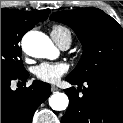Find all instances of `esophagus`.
<instances>
[{
  "label": "esophagus",
  "instance_id": "1",
  "mask_svg": "<svg viewBox=\"0 0 123 123\" xmlns=\"http://www.w3.org/2000/svg\"><path fill=\"white\" fill-rule=\"evenodd\" d=\"M57 90H58V88H57L56 86H54V85L51 86V91H52V92H55V91H57Z\"/></svg>",
  "mask_w": 123,
  "mask_h": 123
}]
</instances>
